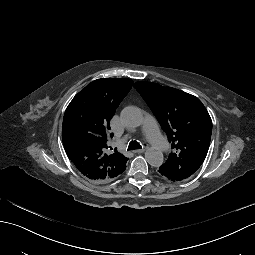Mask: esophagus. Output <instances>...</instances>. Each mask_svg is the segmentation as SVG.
Masks as SVG:
<instances>
[{
	"mask_svg": "<svg viewBox=\"0 0 255 255\" xmlns=\"http://www.w3.org/2000/svg\"><path fill=\"white\" fill-rule=\"evenodd\" d=\"M145 151V149H138V150H135L134 152L135 153H143Z\"/></svg>",
	"mask_w": 255,
	"mask_h": 255,
	"instance_id": "1",
	"label": "esophagus"
}]
</instances>
